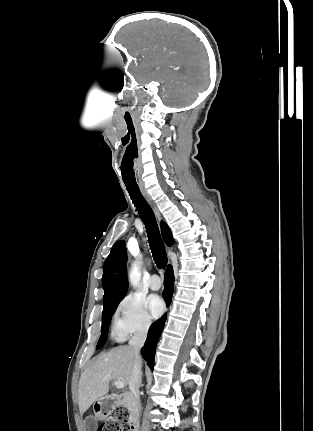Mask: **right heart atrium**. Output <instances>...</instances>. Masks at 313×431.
Wrapping results in <instances>:
<instances>
[{
  "mask_svg": "<svg viewBox=\"0 0 313 431\" xmlns=\"http://www.w3.org/2000/svg\"><path fill=\"white\" fill-rule=\"evenodd\" d=\"M151 325L152 318L141 298L129 294L118 304L113 321L116 337L124 339L133 334H146Z\"/></svg>",
  "mask_w": 313,
  "mask_h": 431,
  "instance_id": "1",
  "label": "right heart atrium"
}]
</instances>
